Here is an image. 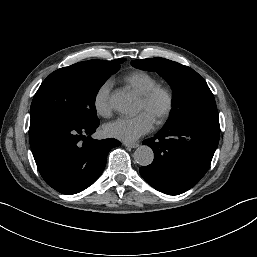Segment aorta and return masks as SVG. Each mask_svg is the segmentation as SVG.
<instances>
[{"mask_svg": "<svg viewBox=\"0 0 257 257\" xmlns=\"http://www.w3.org/2000/svg\"><path fill=\"white\" fill-rule=\"evenodd\" d=\"M112 107L119 113L132 115L137 110L136 98L127 90L114 92L110 99ZM134 159L140 166H148L153 162V150L146 145L139 146L134 152Z\"/></svg>", "mask_w": 257, "mask_h": 257, "instance_id": "762f6f07", "label": "aorta"}]
</instances>
